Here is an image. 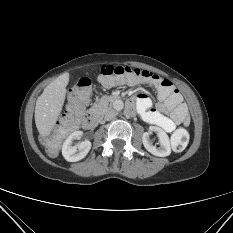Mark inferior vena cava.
Masks as SVG:
<instances>
[{
  "label": "inferior vena cava",
  "mask_w": 233,
  "mask_h": 233,
  "mask_svg": "<svg viewBox=\"0 0 233 233\" xmlns=\"http://www.w3.org/2000/svg\"><path fill=\"white\" fill-rule=\"evenodd\" d=\"M116 117V111L114 109H109L104 114V120L109 121Z\"/></svg>",
  "instance_id": "602c4592"
}]
</instances>
